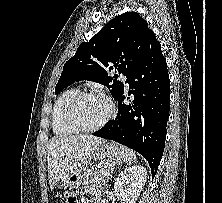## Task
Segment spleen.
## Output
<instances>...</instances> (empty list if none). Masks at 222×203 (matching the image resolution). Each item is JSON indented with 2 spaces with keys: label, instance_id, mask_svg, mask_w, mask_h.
Here are the masks:
<instances>
[{
  "label": "spleen",
  "instance_id": "spleen-1",
  "mask_svg": "<svg viewBox=\"0 0 222 203\" xmlns=\"http://www.w3.org/2000/svg\"><path fill=\"white\" fill-rule=\"evenodd\" d=\"M126 163L127 164H133L137 161V157H136V154L133 150L129 149V148H126Z\"/></svg>",
  "mask_w": 222,
  "mask_h": 203
}]
</instances>
